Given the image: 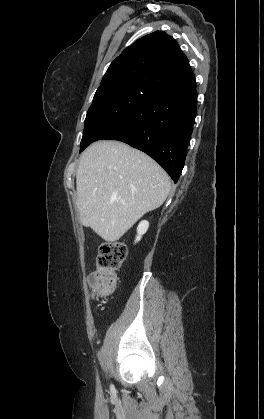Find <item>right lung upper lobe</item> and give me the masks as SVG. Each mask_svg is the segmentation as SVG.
I'll use <instances>...</instances> for the list:
<instances>
[{"label":"right lung upper lobe","mask_w":264,"mask_h":419,"mask_svg":"<svg viewBox=\"0 0 264 419\" xmlns=\"http://www.w3.org/2000/svg\"><path fill=\"white\" fill-rule=\"evenodd\" d=\"M128 84L157 95L189 88L195 76L173 37L163 31L148 34L127 47L109 66L100 88Z\"/></svg>","instance_id":"obj_1"}]
</instances>
